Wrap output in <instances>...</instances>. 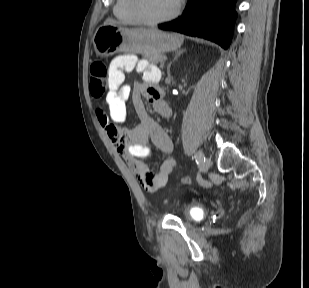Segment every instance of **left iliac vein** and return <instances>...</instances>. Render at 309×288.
I'll list each match as a JSON object with an SVG mask.
<instances>
[{
  "mask_svg": "<svg viewBox=\"0 0 309 288\" xmlns=\"http://www.w3.org/2000/svg\"><path fill=\"white\" fill-rule=\"evenodd\" d=\"M211 161L209 158H207L203 163H202V170L203 172H207L210 168Z\"/></svg>",
  "mask_w": 309,
  "mask_h": 288,
  "instance_id": "1",
  "label": "left iliac vein"
}]
</instances>
